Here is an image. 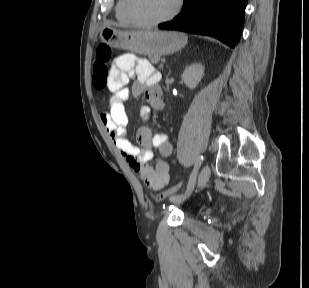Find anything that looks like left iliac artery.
Instances as JSON below:
<instances>
[{"label": "left iliac artery", "instance_id": "1", "mask_svg": "<svg viewBox=\"0 0 309 288\" xmlns=\"http://www.w3.org/2000/svg\"><path fill=\"white\" fill-rule=\"evenodd\" d=\"M202 162H203V156H200L198 158L197 162L195 163L194 169H193V171L190 175V179H189V183H188V187H187L186 192L184 194L171 197L170 201L178 200L181 197H184L186 194L193 192V190L195 188V183H196V175H197V172H198Z\"/></svg>", "mask_w": 309, "mask_h": 288}]
</instances>
